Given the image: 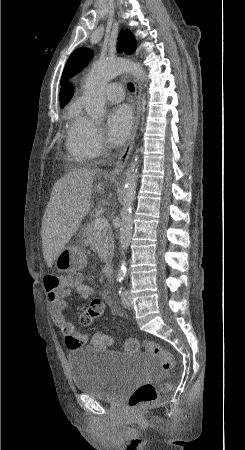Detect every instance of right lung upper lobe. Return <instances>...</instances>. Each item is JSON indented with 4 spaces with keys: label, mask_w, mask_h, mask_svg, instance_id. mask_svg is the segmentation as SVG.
I'll list each match as a JSON object with an SVG mask.
<instances>
[{
    "label": "right lung upper lobe",
    "mask_w": 245,
    "mask_h": 450,
    "mask_svg": "<svg viewBox=\"0 0 245 450\" xmlns=\"http://www.w3.org/2000/svg\"><path fill=\"white\" fill-rule=\"evenodd\" d=\"M72 96H73V87L71 86L70 83L64 84L62 86V88H61V91H60L61 107L66 105L69 102V100L71 99Z\"/></svg>",
    "instance_id": "1"
}]
</instances>
